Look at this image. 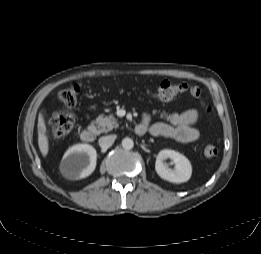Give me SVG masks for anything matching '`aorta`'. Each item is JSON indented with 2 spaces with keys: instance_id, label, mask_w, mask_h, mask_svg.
Listing matches in <instances>:
<instances>
[{
  "instance_id": "762f6f07",
  "label": "aorta",
  "mask_w": 261,
  "mask_h": 254,
  "mask_svg": "<svg viewBox=\"0 0 261 254\" xmlns=\"http://www.w3.org/2000/svg\"><path fill=\"white\" fill-rule=\"evenodd\" d=\"M133 146H134V142L131 138H124L122 140V147L124 149L130 150L133 148Z\"/></svg>"
}]
</instances>
